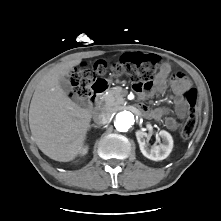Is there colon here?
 <instances>
[{
	"label": "colon",
	"mask_w": 221,
	"mask_h": 221,
	"mask_svg": "<svg viewBox=\"0 0 221 221\" xmlns=\"http://www.w3.org/2000/svg\"><path fill=\"white\" fill-rule=\"evenodd\" d=\"M159 64L160 59L158 56L140 53L138 56H133L123 63L109 65L106 62L98 61L93 65L92 69L87 67L76 69L71 74L73 96L78 100L89 98L90 84L94 75H104L109 72L116 75L125 73L132 79L138 90H149L153 85ZM183 97L189 106V110L187 120L181 129V135L183 138L188 139L193 135L197 123L196 89H186Z\"/></svg>",
	"instance_id": "1"
}]
</instances>
